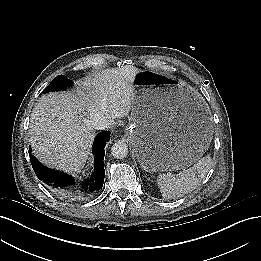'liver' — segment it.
<instances>
[{
  "label": "liver",
  "mask_w": 261,
  "mask_h": 261,
  "mask_svg": "<svg viewBox=\"0 0 261 261\" xmlns=\"http://www.w3.org/2000/svg\"><path fill=\"white\" fill-rule=\"evenodd\" d=\"M139 72L131 65L105 69L79 81L74 92L43 95L34 106L29 126V141L36 157L59 170L79 171L94 139L92 116L101 113L110 125L115 118L127 116Z\"/></svg>",
  "instance_id": "1"
}]
</instances>
